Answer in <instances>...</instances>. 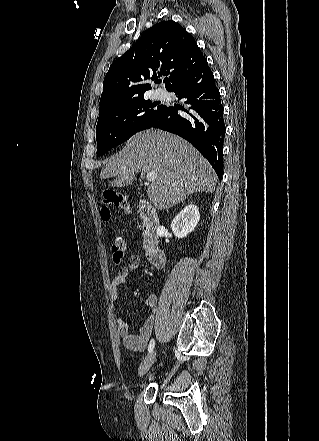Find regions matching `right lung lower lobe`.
I'll list each match as a JSON object with an SVG mask.
<instances>
[{"instance_id": "right-lung-lower-lobe-1", "label": "right lung lower lobe", "mask_w": 319, "mask_h": 441, "mask_svg": "<svg viewBox=\"0 0 319 441\" xmlns=\"http://www.w3.org/2000/svg\"><path fill=\"white\" fill-rule=\"evenodd\" d=\"M168 91L186 99L188 109H163L152 127L169 131L190 142L212 165L219 179L223 173L222 146L225 136L223 106L207 61L178 80ZM183 110L184 114H178Z\"/></svg>"}]
</instances>
